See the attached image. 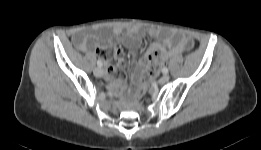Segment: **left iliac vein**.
Here are the masks:
<instances>
[{
    "instance_id": "1",
    "label": "left iliac vein",
    "mask_w": 261,
    "mask_h": 150,
    "mask_svg": "<svg viewBox=\"0 0 261 150\" xmlns=\"http://www.w3.org/2000/svg\"><path fill=\"white\" fill-rule=\"evenodd\" d=\"M170 77L168 75H163L160 79H159V83L160 84H165L169 81Z\"/></svg>"
}]
</instances>
